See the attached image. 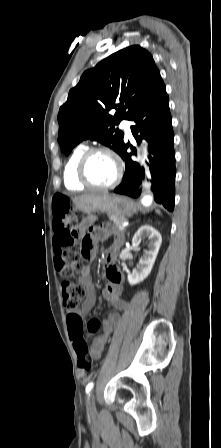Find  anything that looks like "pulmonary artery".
Segmentation results:
<instances>
[{
    "instance_id": "obj_1",
    "label": "pulmonary artery",
    "mask_w": 221,
    "mask_h": 448,
    "mask_svg": "<svg viewBox=\"0 0 221 448\" xmlns=\"http://www.w3.org/2000/svg\"><path fill=\"white\" fill-rule=\"evenodd\" d=\"M121 126L124 128V131L127 135V137L132 138V133L130 129V122L128 120H123L121 123Z\"/></svg>"
}]
</instances>
